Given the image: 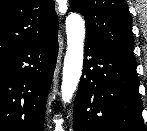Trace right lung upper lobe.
Segmentation results:
<instances>
[{
	"label": "right lung upper lobe",
	"mask_w": 147,
	"mask_h": 131,
	"mask_svg": "<svg viewBox=\"0 0 147 131\" xmlns=\"http://www.w3.org/2000/svg\"><path fill=\"white\" fill-rule=\"evenodd\" d=\"M57 32L53 0H0V56Z\"/></svg>",
	"instance_id": "1"
}]
</instances>
